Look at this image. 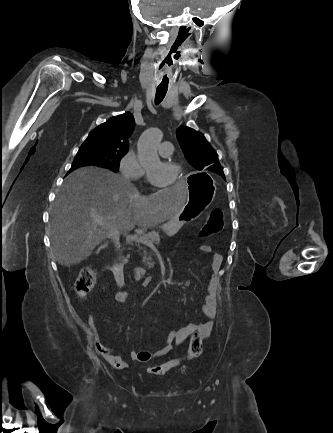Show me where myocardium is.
I'll use <instances>...</instances> for the list:
<instances>
[{
  "mask_svg": "<svg viewBox=\"0 0 333 433\" xmlns=\"http://www.w3.org/2000/svg\"><path fill=\"white\" fill-rule=\"evenodd\" d=\"M162 162H163L165 165H167V166H169V167H171V168L174 169V171H175V176H174L173 181L170 182L169 184L161 185V184L156 183V182L151 178L150 174L148 173L149 181H150V183H151L153 186H155V187L158 188V189H170V188H173V187H175V186L177 185V183H178V181H179V177H178V175H179V172H180V166H179L176 162H174V161H172V160H169V159H164V160H162Z\"/></svg>",
  "mask_w": 333,
  "mask_h": 433,
  "instance_id": "1",
  "label": "myocardium"
}]
</instances>
